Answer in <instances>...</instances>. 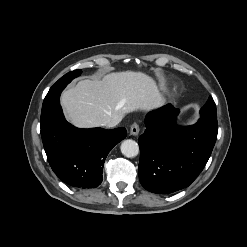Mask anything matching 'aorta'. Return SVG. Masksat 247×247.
Masks as SVG:
<instances>
[{
    "label": "aorta",
    "instance_id": "obj_1",
    "mask_svg": "<svg viewBox=\"0 0 247 247\" xmlns=\"http://www.w3.org/2000/svg\"><path fill=\"white\" fill-rule=\"evenodd\" d=\"M120 149L122 154L128 158L135 157L139 153L138 143L132 139L124 140L121 144Z\"/></svg>",
    "mask_w": 247,
    "mask_h": 247
}]
</instances>
